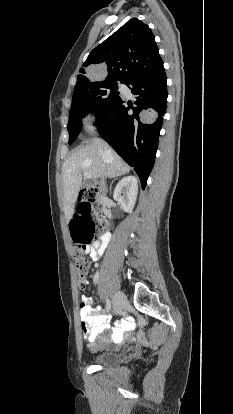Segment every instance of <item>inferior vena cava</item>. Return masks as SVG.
Here are the masks:
<instances>
[{"label": "inferior vena cava", "instance_id": "inferior-vena-cava-1", "mask_svg": "<svg viewBox=\"0 0 233 414\" xmlns=\"http://www.w3.org/2000/svg\"><path fill=\"white\" fill-rule=\"evenodd\" d=\"M104 178H105V176H103L102 177V180H101V185H102V187H101V189H104ZM106 200H107V198L105 197V195L103 194V195H101V197H100V202L101 203H105L106 202Z\"/></svg>", "mask_w": 233, "mask_h": 414}]
</instances>
